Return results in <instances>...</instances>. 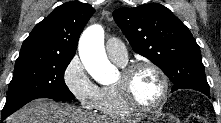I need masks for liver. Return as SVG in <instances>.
<instances>
[{
    "instance_id": "1",
    "label": "liver",
    "mask_w": 221,
    "mask_h": 123,
    "mask_svg": "<svg viewBox=\"0 0 221 123\" xmlns=\"http://www.w3.org/2000/svg\"><path fill=\"white\" fill-rule=\"evenodd\" d=\"M7 123H135L136 120L108 119L69 104L37 99L6 119Z\"/></svg>"
}]
</instances>
